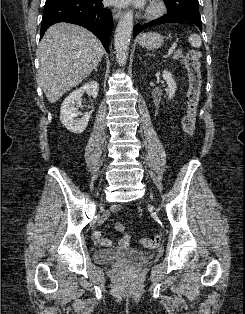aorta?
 I'll list each match as a JSON object with an SVG mask.
<instances>
[{
    "mask_svg": "<svg viewBox=\"0 0 245 314\" xmlns=\"http://www.w3.org/2000/svg\"><path fill=\"white\" fill-rule=\"evenodd\" d=\"M133 30V12H124L115 31L114 49L118 63L125 65L128 57L130 38Z\"/></svg>",
    "mask_w": 245,
    "mask_h": 314,
    "instance_id": "1",
    "label": "aorta"
}]
</instances>
